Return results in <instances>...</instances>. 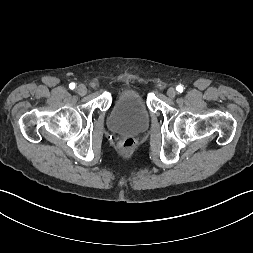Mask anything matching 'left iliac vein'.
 <instances>
[{
  "label": "left iliac vein",
  "mask_w": 253,
  "mask_h": 253,
  "mask_svg": "<svg viewBox=\"0 0 253 253\" xmlns=\"http://www.w3.org/2000/svg\"><path fill=\"white\" fill-rule=\"evenodd\" d=\"M176 90H175V88H173V87H170L168 90H167V96L169 97V98H174L175 96H176Z\"/></svg>",
  "instance_id": "obj_1"
}]
</instances>
